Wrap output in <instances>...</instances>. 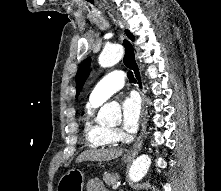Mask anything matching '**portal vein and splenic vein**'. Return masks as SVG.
<instances>
[{
	"mask_svg": "<svg viewBox=\"0 0 221 191\" xmlns=\"http://www.w3.org/2000/svg\"><path fill=\"white\" fill-rule=\"evenodd\" d=\"M119 186H120V184L117 183V184L113 185V189H117Z\"/></svg>",
	"mask_w": 221,
	"mask_h": 191,
	"instance_id": "portal-vein-and-splenic-vein-1",
	"label": "portal vein and splenic vein"
}]
</instances>
